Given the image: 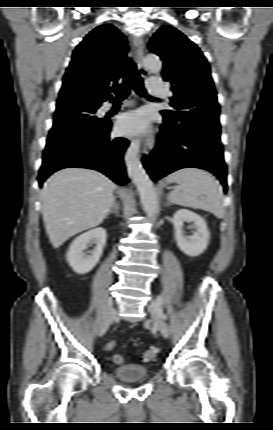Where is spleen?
Masks as SVG:
<instances>
[{
    "instance_id": "obj_1",
    "label": "spleen",
    "mask_w": 273,
    "mask_h": 430,
    "mask_svg": "<svg viewBox=\"0 0 273 430\" xmlns=\"http://www.w3.org/2000/svg\"><path fill=\"white\" fill-rule=\"evenodd\" d=\"M166 181L179 184L178 189L168 194L171 203L206 210L217 218H223L225 208L221 187L206 171L194 167L181 168L168 175Z\"/></svg>"
}]
</instances>
